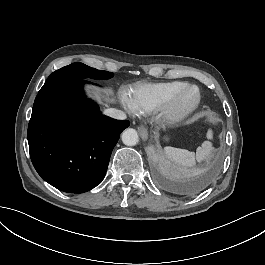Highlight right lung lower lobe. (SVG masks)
I'll return each instance as SVG.
<instances>
[{"label": "right lung lower lobe", "instance_id": "obj_1", "mask_svg": "<svg viewBox=\"0 0 265 265\" xmlns=\"http://www.w3.org/2000/svg\"><path fill=\"white\" fill-rule=\"evenodd\" d=\"M84 79L44 85L28 125L32 163L55 188L83 193L104 179L120 133L129 126L102 115L86 98Z\"/></svg>", "mask_w": 265, "mask_h": 265}]
</instances>
